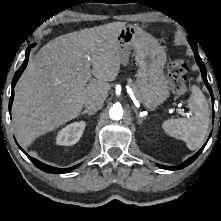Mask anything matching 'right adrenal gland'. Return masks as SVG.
<instances>
[{"instance_id":"1","label":"right adrenal gland","mask_w":221,"mask_h":221,"mask_svg":"<svg viewBox=\"0 0 221 221\" xmlns=\"http://www.w3.org/2000/svg\"><path fill=\"white\" fill-rule=\"evenodd\" d=\"M96 112L93 111H89V110H84L82 111L79 116L84 115V114H88L89 116L94 115Z\"/></svg>"}]
</instances>
